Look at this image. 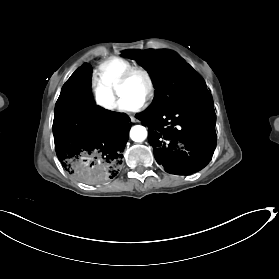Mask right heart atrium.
Masks as SVG:
<instances>
[{
  "label": "right heart atrium",
  "mask_w": 279,
  "mask_h": 279,
  "mask_svg": "<svg viewBox=\"0 0 279 279\" xmlns=\"http://www.w3.org/2000/svg\"><path fill=\"white\" fill-rule=\"evenodd\" d=\"M93 99L96 106L106 114H111L116 110L117 95L101 84H93Z\"/></svg>",
  "instance_id": "right-heart-atrium-1"
}]
</instances>
